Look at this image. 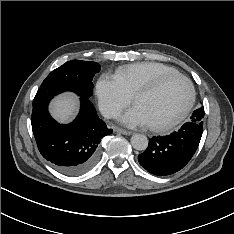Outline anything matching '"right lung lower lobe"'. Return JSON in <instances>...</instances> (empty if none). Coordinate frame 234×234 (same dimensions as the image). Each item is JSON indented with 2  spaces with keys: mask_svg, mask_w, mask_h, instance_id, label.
<instances>
[{
  "mask_svg": "<svg viewBox=\"0 0 234 234\" xmlns=\"http://www.w3.org/2000/svg\"><path fill=\"white\" fill-rule=\"evenodd\" d=\"M51 99L33 106L32 131L41 155L60 172L76 176L91 169L100 152V141L111 134L89 99L80 98L81 108L70 124H59L48 112Z\"/></svg>",
  "mask_w": 234,
  "mask_h": 234,
  "instance_id": "obj_1",
  "label": "right lung lower lobe"
}]
</instances>
